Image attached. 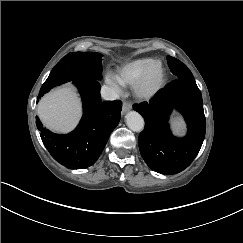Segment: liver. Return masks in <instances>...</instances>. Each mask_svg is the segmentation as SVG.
I'll use <instances>...</instances> for the list:
<instances>
[{"label": "liver", "mask_w": 243, "mask_h": 243, "mask_svg": "<svg viewBox=\"0 0 243 243\" xmlns=\"http://www.w3.org/2000/svg\"><path fill=\"white\" fill-rule=\"evenodd\" d=\"M37 114L44 126L58 133L75 128L81 113V102L76 89L69 83L46 94L37 106Z\"/></svg>", "instance_id": "1"}]
</instances>
